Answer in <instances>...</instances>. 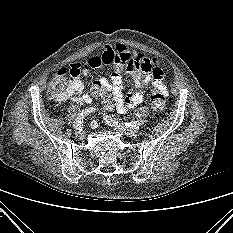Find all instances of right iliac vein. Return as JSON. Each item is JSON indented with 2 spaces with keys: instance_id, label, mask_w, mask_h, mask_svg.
<instances>
[{
  "instance_id": "63e3f726",
  "label": "right iliac vein",
  "mask_w": 233,
  "mask_h": 233,
  "mask_svg": "<svg viewBox=\"0 0 233 233\" xmlns=\"http://www.w3.org/2000/svg\"><path fill=\"white\" fill-rule=\"evenodd\" d=\"M76 137L79 139H83L85 137V132L83 130H79L76 132Z\"/></svg>"
}]
</instances>
